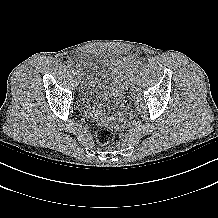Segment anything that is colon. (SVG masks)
<instances>
[{"label": "colon", "mask_w": 218, "mask_h": 218, "mask_svg": "<svg viewBox=\"0 0 218 218\" xmlns=\"http://www.w3.org/2000/svg\"><path fill=\"white\" fill-rule=\"evenodd\" d=\"M114 133L109 124L102 120L96 122L95 139L98 144L105 145L113 140Z\"/></svg>", "instance_id": "5ec220e1"}]
</instances>
